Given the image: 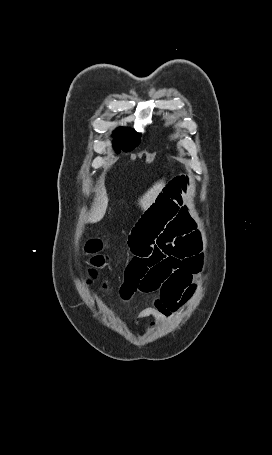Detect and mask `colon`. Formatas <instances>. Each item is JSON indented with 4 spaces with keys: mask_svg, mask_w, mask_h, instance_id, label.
<instances>
[{
    "mask_svg": "<svg viewBox=\"0 0 272 455\" xmlns=\"http://www.w3.org/2000/svg\"><path fill=\"white\" fill-rule=\"evenodd\" d=\"M105 249L106 245L98 238L90 239L86 243L84 252L88 256L89 264L93 269L98 268L107 262L108 257L104 253ZM91 274H94L93 271H91Z\"/></svg>",
    "mask_w": 272,
    "mask_h": 455,
    "instance_id": "1",
    "label": "colon"
}]
</instances>
